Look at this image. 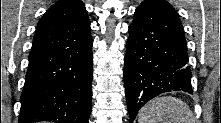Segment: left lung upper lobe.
Masks as SVG:
<instances>
[{
  "instance_id": "obj_1",
  "label": "left lung upper lobe",
  "mask_w": 221,
  "mask_h": 123,
  "mask_svg": "<svg viewBox=\"0 0 221 123\" xmlns=\"http://www.w3.org/2000/svg\"><path fill=\"white\" fill-rule=\"evenodd\" d=\"M149 1L153 4H156L160 9L164 10L165 12L178 18L177 12L168 2L162 0H149Z\"/></svg>"
}]
</instances>
